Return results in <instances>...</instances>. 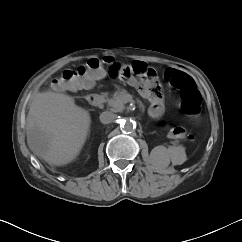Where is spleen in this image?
Instances as JSON below:
<instances>
[{
    "mask_svg": "<svg viewBox=\"0 0 242 242\" xmlns=\"http://www.w3.org/2000/svg\"><path fill=\"white\" fill-rule=\"evenodd\" d=\"M178 149H180V147L169 148V150L167 151V156L169 157V159H172V161H174V159L176 158V151Z\"/></svg>",
    "mask_w": 242,
    "mask_h": 242,
    "instance_id": "spleen-1",
    "label": "spleen"
}]
</instances>
